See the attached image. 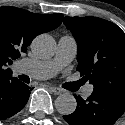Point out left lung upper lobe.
Returning <instances> with one entry per match:
<instances>
[{"label":"left lung upper lobe","mask_w":125,"mask_h":125,"mask_svg":"<svg viewBox=\"0 0 125 125\" xmlns=\"http://www.w3.org/2000/svg\"><path fill=\"white\" fill-rule=\"evenodd\" d=\"M64 25L77 42V70L94 91L125 94V33L97 17H65Z\"/></svg>","instance_id":"obj_1"}]
</instances>
